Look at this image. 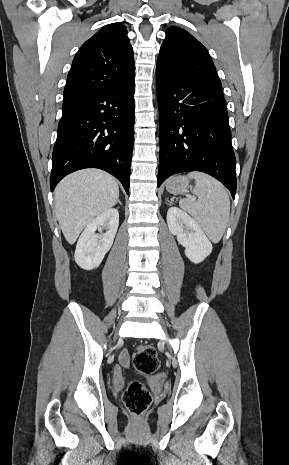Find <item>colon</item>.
<instances>
[{
  "mask_svg": "<svg viewBox=\"0 0 289 465\" xmlns=\"http://www.w3.org/2000/svg\"><path fill=\"white\" fill-rule=\"evenodd\" d=\"M133 363L136 370L143 374L155 373L160 364L156 350L149 345H141L136 349ZM123 400L131 413L140 415L148 408L151 395L141 382L131 381L124 391Z\"/></svg>",
  "mask_w": 289,
  "mask_h": 465,
  "instance_id": "obj_1",
  "label": "colon"
}]
</instances>
